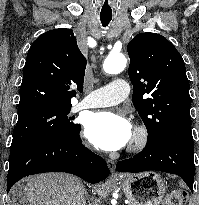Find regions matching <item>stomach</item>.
<instances>
[{"label":"stomach","instance_id":"0dacf381","mask_svg":"<svg viewBox=\"0 0 199 205\" xmlns=\"http://www.w3.org/2000/svg\"><path fill=\"white\" fill-rule=\"evenodd\" d=\"M120 184L131 205H159L165 195V183L155 172L127 174Z\"/></svg>","mask_w":199,"mask_h":205}]
</instances>
